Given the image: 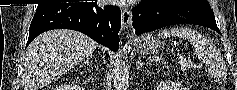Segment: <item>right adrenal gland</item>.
Instances as JSON below:
<instances>
[{
	"label": "right adrenal gland",
	"mask_w": 237,
	"mask_h": 90,
	"mask_svg": "<svg viewBox=\"0 0 237 90\" xmlns=\"http://www.w3.org/2000/svg\"><path fill=\"white\" fill-rule=\"evenodd\" d=\"M92 60H93L92 56H91V58H87L86 62H84V64H82L81 68H83V66H86V64H87V66H89V64H92Z\"/></svg>",
	"instance_id": "obj_1"
}]
</instances>
